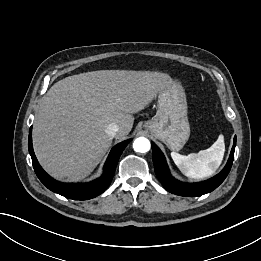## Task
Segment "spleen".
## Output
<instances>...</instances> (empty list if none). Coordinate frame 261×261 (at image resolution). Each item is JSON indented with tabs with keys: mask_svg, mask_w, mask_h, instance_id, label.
I'll return each mask as SVG.
<instances>
[{
	"mask_svg": "<svg viewBox=\"0 0 261 261\" xmlns=\"http://www.w3.org/2000/svg\"><path fill=\"white\" fill-rule=\"evenodd\" d=\"M225 152L224 136L219 135L214 144L198 153L181 155L171 152V157L179 170L187 177L203 179L212 176L221 165Z\"/></svg>",
	"mask_w": 261,
	"mask_h": 261,
	"instance_id": "obj_1",
	"label": "spleen"
}]
</instances>
